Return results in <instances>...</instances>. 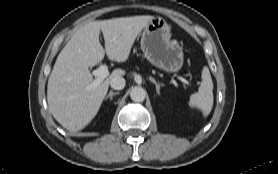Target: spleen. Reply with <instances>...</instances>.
Segmentation results:
<instances>
[{"label": "spleen", "mask_w": 278, "mask_h": 174, "mask_svg": "<svg viewBox=\"0 0 278 174\" xmlns=\"http://www.w3.org/2000/svg\"><path fill=\"white\" fill-rule=\"evenodd\" d=\"M201 84L198 92L190 96L189 105L199 108L204 116H208L213 107V82L208 67H203Z\"/></svg>", "instance_id": "3e777b00"}]
</instances>
